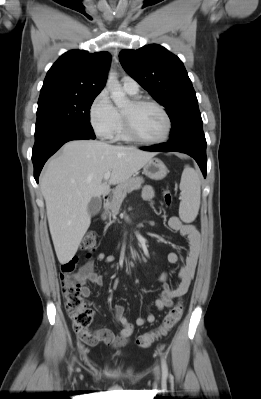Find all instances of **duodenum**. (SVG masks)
I'll return each mask as SVG.
<instances>
[{"mask_svg": "<svg viewBox=\"0 0 261 399\" xmlns=\"http://www.w3.org/2000/svg\"><path fill=\"white\" fill-rule=\"evenodd\" d=\"M109 202H110V194H105L103 196V205L107 206L109 204Z\"/></svg>", "mask_w": 261, "mask_h": 399, "instance_id": "duodenum-1", "label": "duodenum"}]
</instances>
